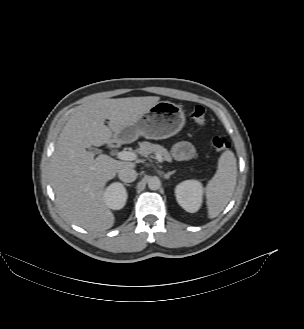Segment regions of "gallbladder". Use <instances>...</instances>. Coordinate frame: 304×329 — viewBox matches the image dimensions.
<instances>
[{
    "label": "gallbladder",
    "instance_id": "obj_1",
    "mask_svg": "<svg viewBox=\"0 0 304 329\" xmlns=\"http://www.w3.org/2000/svg\"><path fill=\"white\" fill-rule=\"evenodd\" d=\"M89 150H90V152H92V153H94V154H97V153L100 152V151H99L98 149H96V148H90Z\"/></svg>",
    "mask_w": 304,
    "mask_h": 329
}]
</instances>
